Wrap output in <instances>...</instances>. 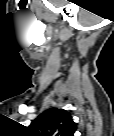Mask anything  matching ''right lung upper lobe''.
Segmentation results:
<instances>
[{"mask_svg": "<svg viewBox=\"0 0 114 136\" xmlns=\"http://www.w3.org/2000/svg\"><path fill=\"white\" fill-rule=\"evenodd\" d=\"M30 131L37 136H74L76 126L69 112L51 108L30 124Z\"/></svg>", "mask_w": 114, "mask_h": 136, "instance_id": "right-lung-upper-lobe-1", "label": "right lung upper lobe"}]
</instances>
